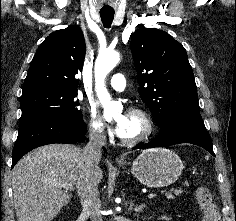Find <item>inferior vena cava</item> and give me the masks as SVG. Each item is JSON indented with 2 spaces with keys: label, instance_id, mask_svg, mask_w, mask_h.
I'll return each mask as SVG.
<instances>
[{
  "label": "inferior vena cava",
  "instance_id": "1",
  "mask_svg": "<svg viewBox=\"0 0 236 221\" xmlns=\"http://www.w3.org/2000/svg\"><path fill=\"white\" fill-rule=\"evenodd\" d=\"M106 145V136L101 129L91 128L89 130V142L82 149V156L85 165L89 168L88 180L84 184L80 192V200L83 212H86L91 221H103L100 213L101 201L99 197V182L93 175L94 168L98 164L102 156V148Z\"/></svg>",
  "mask_w": 236,
  "mask_h": 221
}]
</instances>
